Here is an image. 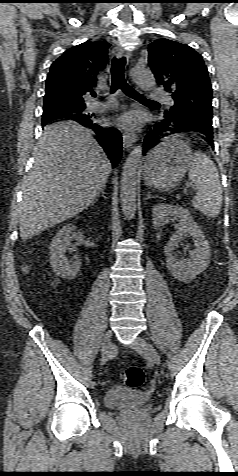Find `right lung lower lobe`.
Returning a JSON list of instances; mask_svg holds the SVG:
<instances>
[{
  "mask_svg": "<svg viewBox=\"0 0 238 476\" xmlns=\"http://www.w3.org/2000/svg\"><path fill=\"white\" fill-rule=\"evenodd\" d=\"M79 124L91 128L97 135V142L104 149L113 166L117 165L122 154V137L115 128H103L92 119L77 121ZM45 126V124H43Z\"/></svg>",
  "mask_w": 238,
  "mask_h": 476,
  "instance_id": "98d812e1",
  "label": "right lung lower lobe"
}]
</instances>
